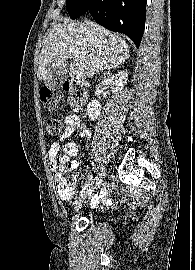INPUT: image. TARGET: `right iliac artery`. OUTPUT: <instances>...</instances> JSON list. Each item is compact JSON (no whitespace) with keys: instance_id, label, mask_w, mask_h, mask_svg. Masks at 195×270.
<instances>
[{"instance_id":"1","label":"right iliac artery","mask_w":195,"mask_h":270,"mask_svg":"<svg viewBox=\"0 0 195 270\" xmlns=\"http://www.w3.org/2000/svg\"><path fill=\"white\" fill-rule=\"evenodd\" d=\"M92 180V175L90 176V178L88 179L87 183L85 184L84 188L82 189L81 191V195H83V193H85V190L87 189L89 183L91 182Z\"/></svg>"}]
</instances>
